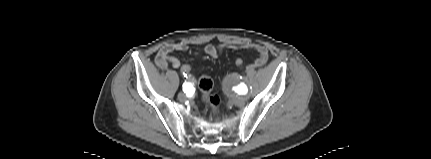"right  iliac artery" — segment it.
Segmentation results:
<instances>
[{
	"instance_id": "obj_1",
	"label": "right iliac artery",
	"mask_w": 431,
	"mask_h": 159,
	"mask_svg": "<svg viewBox=\"0 0 431 159\" xmlns=\"http://www.w3.org/2000/svg\"><path fill=\"white\" fill-rule=\"evenodd\" d=\"M183 91L188 94V93H192L193 91V85L189 82H186L183 84Z\"/></svg>"
}]
</instances>
